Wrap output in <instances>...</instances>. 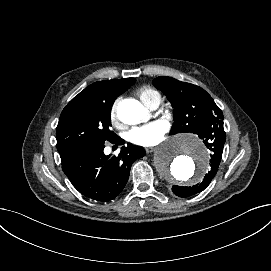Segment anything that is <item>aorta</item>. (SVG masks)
<instances>
[{
  "label": "aorta",
  "mask_w": 271,
  "mask_h": 271,
  "mask_svg": "<svg viewBox=\"0 0 271 271\" xmlns=\"http://www.w3.org/2000/svg\"><path fill=\"white\" fill-rule=\"evenodd\" d=\"M146 115L143 105L133 99L118 104L117 116L126 124H137ZM155 168L170 183L193 184L209 165L204 145L193 136L183 135L165 142L154 157Z\"/></svg>",
  "instance_id": "1"
}]
</instances>
